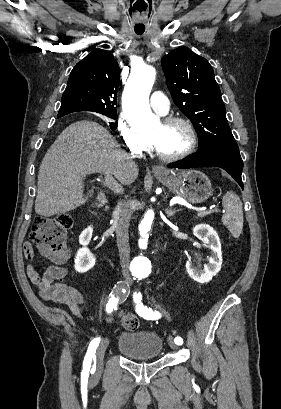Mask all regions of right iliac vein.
Listing matches in <instances>:
<instances>
[{
  "label": "right iliac vein",
  "instance_id": "obj_1",
  "mask_svg": "<svg viewBox=\"0 0 281 409\" xmlns=\"http://www.w3.org/2000/svg\"><path fill=\"white\" fill-rule=\"evenodd\" d=\"M108 345H109V341L105 340L104 342H102V344L97 350L96 357H95L97 373H99L103 368L104 355H105V351Z\"/></svg>",
  "mask_w": 281,
  "mask_h": 409
}]
</instances>
